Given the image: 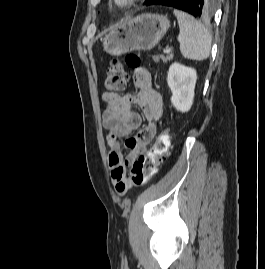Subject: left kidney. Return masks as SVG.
I'll use <instances>...</instances> for the list:
<instances>
[{
	"instance_id": "left-kidney-1",
	"label": "left kidney",
	"mask_w": 265,
	"mask_h": 269,
	"mask_svg": "<svg viewBox=\"0 0 265 269\" xmlns=\"http://www.w3.org/2000/svg\"><path fill=\"white\" fill-rule=\"evenodd\" d=\"M196 70L173 63L168 71L167 83L172 92L171 103L180 112H188L194 99Z\"/></svg>"
}]
</instances>
